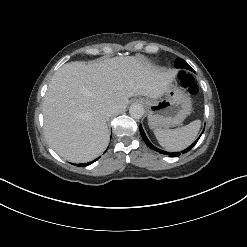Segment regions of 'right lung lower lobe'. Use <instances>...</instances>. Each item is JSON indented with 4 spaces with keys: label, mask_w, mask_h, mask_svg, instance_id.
<instances>
[{
    "label": "right lung lower lobe",
    "mask_w": 247,
    "mask_h": 247,
    "mask_svg": "<svg viewBox=\"0 0 247 247\" xmlns=\"http://www.w3.org/2000/svg\"><path fill=\"white\" fill-rule=\"evenodd\" d=\"M96 160L92 161V162H89V163H85V164H75L76 166H79V167H84V166H87L93 162H95Z\"/></svg>",
    "instance_id": "obj_1"
}]
</instances>
